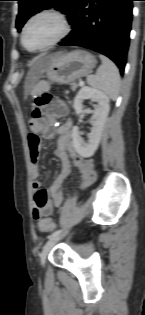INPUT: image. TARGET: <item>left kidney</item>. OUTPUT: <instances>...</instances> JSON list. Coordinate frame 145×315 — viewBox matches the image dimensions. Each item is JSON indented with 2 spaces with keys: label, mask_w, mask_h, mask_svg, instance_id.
<instances>
[{
  "label": "left kidney",
  "mask_w": 145,
  "mask_h": 315,
  "mask_svg": "<svg viewBox=\"0 0 145 315\" xmlns=\"http://www.w3.org/2000/svg\"><path fill=\"white\" fill-rule=\"evenodd\" d=\"M85 99H92L97 102L94 110L87 111L92 114V118L94 119L91 134L89 135L88 143H84L80 138L78 126H74L72 129V139L77 153L84 158H89L93 156L98 148L110 107L107 95L97 89L85 86L80 89L74 99L73 107L76 115L84 112L82 103Z\"/></svg>",
  "instance_id": "1"
}]
</instances>
